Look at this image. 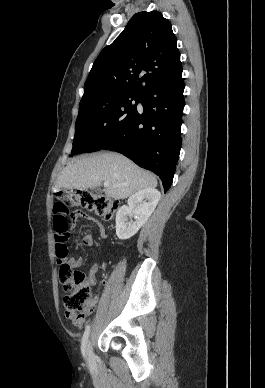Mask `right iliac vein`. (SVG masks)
<instances>
[{
  "instance_id": "right-iliac-vein-1",
  "label": "right iliac vein",
  "mask_w": 265,
  "mask_h": 388,
  "mask_svg": "<svg viewBox=\"0 0 265 388\" xmlns=\"http://www.w3.org/2000/svg\"><path fill=\"white\" fill-rule=\"evenodd\" d=\"M85 351H86L88 360L92 361L93 360V350H92V345H91L90 341H88L86 343Z\"/></svg>"
}]
</instances>
